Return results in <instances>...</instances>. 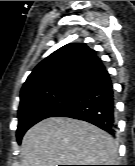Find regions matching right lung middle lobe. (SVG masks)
Returning <instances> with one entry per match:
<instances>
[{"mask_svg": "<svg viewBox=\"0 0 135 166\" xmlns=\"http://www.w3.org/2000/svg\"><path fill=\"white\" fill-rule=\"evenodd\" d=\"M72 97V90L69 85L21 104L18 110L17 142H21L24 133L34 124L45 118L53 117L56 113L65 109L70 104Z\"/></svg>", "mask_w": 135, "mask_h": 166, "instance_id": "dd1d6c3e", "label": "right lung middle lobe"}]
</instances>
